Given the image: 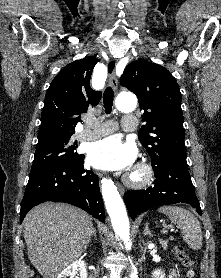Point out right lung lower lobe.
Segmentation results:
<instances>
[{
	"mask_svg": "<svg viewBox=\"0 0 221 278\" xmlns=\"http://www.w3.org/2000/svg\"><path fill=\"white\" fill-rule=\"evenodd\" d=\"M84 155L77 161L51 165L33 175L21 203L20 222L34 206L46 202H65L82 208L105 222L98 176L84 169Z\"/></svg>",
	"mask_w": 221,
	"mask_h": 278,
	"instance_id": "obj_1",
	"label": "right lung lower lobe"
}]
</instances>
